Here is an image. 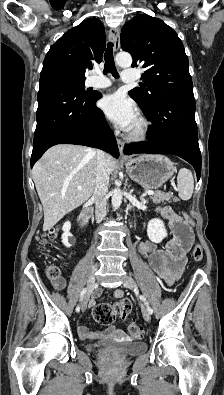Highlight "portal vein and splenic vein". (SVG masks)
Here are the masks:
<instances>
[{
  "instance_id": "1",
  "label": "portal vein and splenic vein",
  "mask_w": 224,
  "mask_h": 395,
  "mask_svg": "<svg viewBox=\"0 0 224 395\" xmlns=\"http://www.w3.org/2000/svg\"><path fill=\"white\" fill-rule=\"evenodd\" d=\"M77 189H78V190H82V187H81V186H78ZM146 194H147V195H154V192L149 190V191H146Z\"/></svg>"
}]
</instances>
